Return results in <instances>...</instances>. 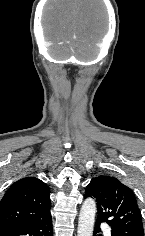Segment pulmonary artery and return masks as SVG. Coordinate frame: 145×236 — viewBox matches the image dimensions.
<instances>
[{"label": "pulmonary artery", "mask_w": 145, "mask_h": 236, "mask_svg": "<svg viewBox=\"0 0 145 236\" xmlns=\"http://www.w3.org/2000/svg\"><path fill=\"white\" fill-rule=\"evenodd\" d=\"M104 233H105L106 236H110L111 235L110 228H108V227L104 228Z\"/></svg>", "instance_id": "e3ab8cb5"}]
</instances>
